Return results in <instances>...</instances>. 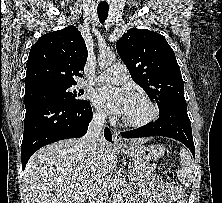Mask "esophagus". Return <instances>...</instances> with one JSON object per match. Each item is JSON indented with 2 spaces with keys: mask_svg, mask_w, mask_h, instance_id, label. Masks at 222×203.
<instances>
[{
  "mask_svg": "<svg viewBox=\"0 0 222 203\" xmlns=\"http://www.w3.org/2000/svg\"><path fill=\"white\" fill-rule=\"evenodd\" d=\"M113 143L116 146H124L125 145V143L122 140L120 134L118 132H116V131L113 132Z\"/></svg>",
  "mask_w": 222,
  "mask_h": 203,
  "instance_id": "1",
  "label": "esophagus"
}]
</instances>
